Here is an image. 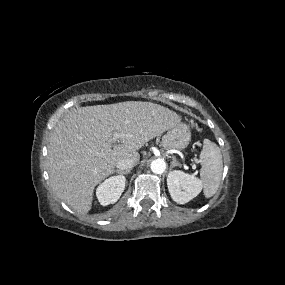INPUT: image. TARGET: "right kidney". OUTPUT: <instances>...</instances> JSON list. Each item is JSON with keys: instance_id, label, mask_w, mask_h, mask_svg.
<instances>
[{"instance_id": "right-kidney-1", "label": "right kidney", "mask_w": 285, "mask_h": 285, "mask_svg": "<svg viewBox=\"0 0 285 285\" xmlns=\"http://www.w3.org/2000/svg\"><path fill=\"white\" fill-rule=\"evenodd\" d=\"M125 181L124 176H112L101 183L96 190L100 204L107 206L115 203L124 191Z\"/></svg>"}]
</instances>
